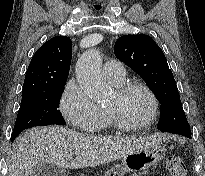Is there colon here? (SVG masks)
Returning a JSON list of instances; mask_svg holds the SVG:
<instances>
[{
  "label": "colon",
  "instance_id": "1",
  "mask_svg": "<svg viewBox=\"0 0 205 176\" xmlns=\"http://www.w3.org/2000/svg\"><path fill=\"white\" fill-rule=\"evenodd\" d=\"M167 168L172 176H187L186 165L178 153L170 154L167 158Z\"/></svg>",
  "mask_w": 205,
  "mask_h": 176
}]
</instances>
